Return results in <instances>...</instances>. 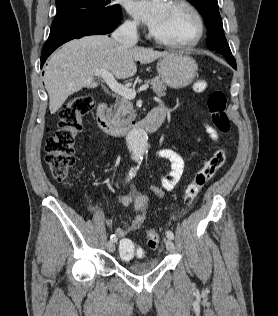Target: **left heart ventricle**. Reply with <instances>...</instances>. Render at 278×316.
I'll use <instances>...</instances> for the list:
<instances>
[{"instance_id":"b2bd125f","label":"left heart ventricle","mask_w":278,"mask_h":316,"mask_svg":"<svg viewBox=\"0 0 278 316\" xmlns=\"http://www.w3.org/2000/svg\"><path fill=\"white\" fill-rule=\"evenodd\" d=\"M152 32L165 40L186 41L195 33V22L185 9L169 4L163 20Z\"/></svg>"}]
</instances>
